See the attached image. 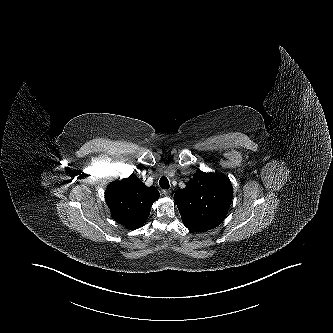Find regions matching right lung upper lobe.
<instances>
[{
  "label": "right lung upper lobe",
  "instance_id": "1",
  "mask_svg": "<svg viewBox=\"0 0 333 333\" xmlns=\"http://www.w3.org/2000/svg\"><path fill=\"white\" fill-rule=\"evenodd\" d=\"M159 198L155 187L145 186L136 175L109 184L105 199L112 217L128 229L140 227L148 218L151 206Z\"/></svg>",
  "mask_w": 333,
  "mask_h": 333
}]
</instances>
